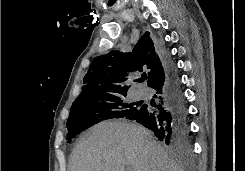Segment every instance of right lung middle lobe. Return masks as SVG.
Returning <instances> with one entry per match:
<instances>
[{
	"instance_id": "right-lung-middle-lobe-1",
	"label": "right lung middle lobe",
	"mask_w": 245,
	"mask_h": 171,
	"mask_svg": "<svg viewBox=\"0 0 245 171\" xmlns=\"http://www.w3.org/2000/svg\"><path fill=\"white\" fill-rule=\"evenodd\" d=\"M126 94L108 96L100 99L74 101L67 121V142L87 128L107 119H133L141 107L125 102Z\"/></svg>"
}]
</instances>
